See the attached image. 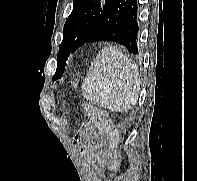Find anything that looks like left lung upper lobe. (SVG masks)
Returning <instances> with one entry per match:
<instances>
[{
	"label": "left lung upper lobe",
	"mask_w": 197,
	"mask_h": 181,
	"mask_svg": "<svg viewBox=\"0 0 197 181\" xmlns=\"http://www.w3.org/2000/svg\"><path fill=\"white\" fill-rule=\"evenodd\" d=\"M113 0H74V7L63 29V40L57 55L53 80L62 77L70 55L85 43L98 26Z\"/></svg>",
	"instance_id": "5c2ea615"
}]
</instances>
